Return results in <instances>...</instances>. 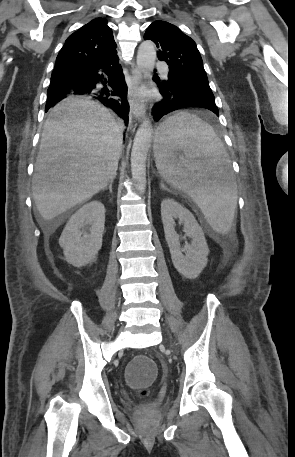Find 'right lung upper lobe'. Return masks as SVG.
Instances as JSON below:
<instances>
[{
    "instance_id": "1",
    "label": "right lung upper lobe",
    "mask_w": 295,
    "mask_h": 457,
    "mask_svg": "<svg viewBox=\"0 0 295 457\" xmlns=\"http://www.w3.org/2000/svg\"><path fill=\"white\" fill-rule=\"evenodd\" d=\"M115 52L116 43L107 20L96 18L66 39L56 58L55 69L86 66Z\"/></svg>"
}]
</instances>
